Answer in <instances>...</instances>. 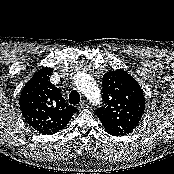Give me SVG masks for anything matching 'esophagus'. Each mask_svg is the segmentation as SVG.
I'll list each match as a JSON object with an SVG mask.
<instances>
[{"instance_id": "esophagus-1", "label": "esophagus", "mask_w": 174, "mask_h": 174, "mask_svg": "<svg viewBox=\"0 0 174 174\" xmlns=\"http://www.w3.org/2000/svg\"><path fill=\"white\" fill-rule=\"evenodd\" d=\"M87 105V102L85 100L81 101L79 104V108H83Z\"/></svg>"}]
</instances>
